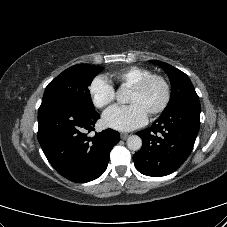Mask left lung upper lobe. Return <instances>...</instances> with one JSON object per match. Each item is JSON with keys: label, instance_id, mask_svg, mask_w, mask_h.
Masks as SVG:
<instances>
[{"label": "left lung upper lobe", "instance_id": "5c2ea615", "mask_svg": "<svg viewBox=\"0 0 227 227\" xmlns=\"http://www.w3.org/2000/svg\"><path fill=\"white\" fill-rule=\"evenodd\" d=\"M151 62L160 65L167 73L171 82V98L162 114L170 112L184 102L199 101V97L194 89L193 84L184 72L161 61L153 60Z\"/></svg>", "mask_w": 227, "mask_h": 227}]
</instances>
